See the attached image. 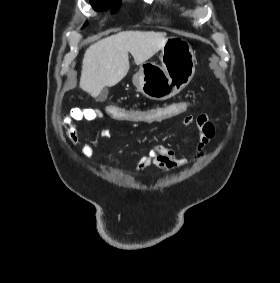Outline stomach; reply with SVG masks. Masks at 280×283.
Wrapping results in <instances>:
<instances>
[{"instance_id": "obj_1", "label": "stomach", "mask_w": 280, "mask_h": 283, "mask_svg": "<svg viewBox=\"0 0 280 283\" xmlns=\"http://www.w3.org/2000/svg\"><path fill=\"white\" fill-rule=\"evenodd\" d=\"M160 61L161 65L154 62L141 64L132 79L137 90L153 100L174 96L189 84L195 73L192 47L183 38H165Z\"/></svg>"}]
</instances>
